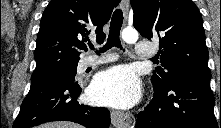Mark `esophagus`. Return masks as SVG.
Segmentation results:
<instances>
[{"label": "esophagus", "mask_w": 221, "mask_h": 128, "mask_svg": "<svg viewBox=\"0 0 221 128\" xmlns=\"http://www.w3.org/2000/svg\"><path fill=\"white\" fill-rule=\"evenodd\" d=\"M121 8L124 18L128 16L129 0L121 1ZM112 124L117 128H133L135 126V117L129 112L113 110L111 113Z\"/></svg>", "instance_id": "obj_1"}]
</instances>
